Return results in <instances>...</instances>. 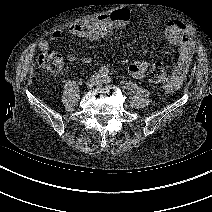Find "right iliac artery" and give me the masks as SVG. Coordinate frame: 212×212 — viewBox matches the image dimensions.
<instances>
[{"mask_svg": "<svg viewBox=\"0 0 212 212\" xmlns=\"http://www.w3.org/2000/svg\"><path fill=\"white\" fill-rule=\"evenodd\" d=\"M107 73H108V71H107L106 69H102V70L100 71V74H101L102 76H106Z\"/></svg>", "mask_w": 212, "mask_h": 212, "instance_id": "obj_1", "label": "right iliac artery"}]
</instances>
